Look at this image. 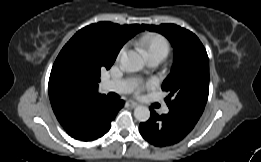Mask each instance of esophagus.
Returning a JSON list of instances; mask_svg holds the SVG:
<instances>
[{"mask_svg": "<svg viewBox=\"0 0 261 162\" xmlns=\"http://www.w3.org/2000/svg\"><path fill=\"white\" fill-rule=\"evenodd\" d=\"M127 103L132 108H135L139 105L138 103L134 102L133 100H128Z\"/></svg>", "mask_w": 261, "mask_h": 162, "instance_id": "obj_1", "label": "esophagus"}]
</instances>
